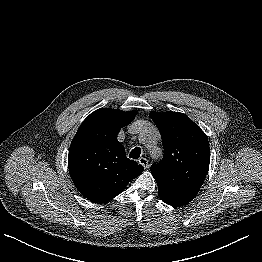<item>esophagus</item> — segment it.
I'll list each match as a JSON object with an SVG mask.
<instances>
[{
	"label": "esophagus",
	"instance_id": "esophagus-1",
	"mask_svg": "<svg viewBox=\"0 0 262 262\" xmlns=\"http://www.w3.org/2000/svg\"><path fill=\"white\" fill-rule=\"evenodd\" d=\"M138 162L144 167L147 168L148 167V160L144 157L139 158Z\"/></svg>",
	"mask_w": 262,
	"mask_h": 262
}]
</instances>
